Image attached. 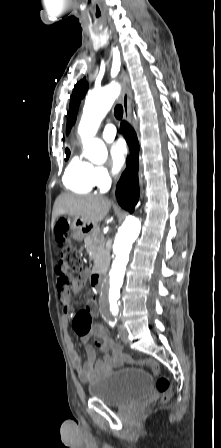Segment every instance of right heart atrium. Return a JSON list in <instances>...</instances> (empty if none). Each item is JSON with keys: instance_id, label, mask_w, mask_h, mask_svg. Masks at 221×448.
Returning <instances> with one entry per match:
<instances>
[{"instance_id": "obj_1", "label": "right heart atrium", "mask_w": 221, "mask_h": 448, "mask_svg": "<svg viewBox=\"0 0 221 448\" xmlns=\"http://www.w3.org/2000/svg\"><path fill=\"white\" fill-rule=\"evenodd\" d=\"M93 178L96 186L101 189L106 188L111 183V175L107 168L103 166L93 167Z\"/></svg>"}]
</instances>
